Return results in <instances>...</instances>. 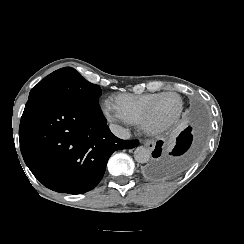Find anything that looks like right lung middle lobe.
<instances>
[{
  "label": "right lung middle lobe",
  "instance_id": "1",
  "mask_svg": "<svg viewBox=\"0 0 244 244\" xmlns=\"http://www.w3.org/2000/svg\"><path fill=\"white\" fill-rule=\"evenodd\" d=\"M100 94V86L88 82L75 69L65 67L54 71L40 81L30 91L29 99L56 97L95 107L99 106Z\"/></svg>",
  "mask_w": 244,
  "mask_h": 244
}]
</instances>
